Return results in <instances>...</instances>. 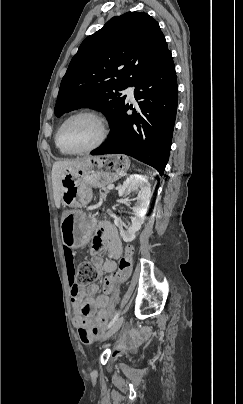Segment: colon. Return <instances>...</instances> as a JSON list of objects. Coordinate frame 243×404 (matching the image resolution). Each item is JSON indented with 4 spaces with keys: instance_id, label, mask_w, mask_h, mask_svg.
<instances>
[{
    "instance_id": "obj_1",
    "label": "colon",
    "mask_w": 243,
    "mask_h": 404,
    "mask_svg": "<svg viewBox=\"0 0 243 404\" xmlns=\"http://www.w3.org/2000/svg\"><path fill=\"white\" fill-rule=\"evenodd\" d=\"M132 254L133 248L128 246L126 248L124 257H122L120 260L118 272L106 277L104 281V292L106 294H111L120 283L127 279L130 272ZM97 279L98 272L91 262L83 261L79 264L77 281L80 284H90L95 282Z\"/></svg>"
}]
</instances>
